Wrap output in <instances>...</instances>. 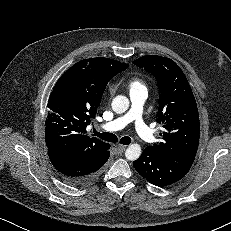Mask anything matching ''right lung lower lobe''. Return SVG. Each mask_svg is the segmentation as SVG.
<instances>
[{
  "label": "right lung lower lobe",
  "instance_id": "1",
  "mask_svg": "<svg viewBox=\"0 0 231 231\" xmlns=\"http://www.w3.org/2000/svg\"><path fill=\"white\" fill-rule=\"evenodd\" d=\"M48 155L59 176L67 184L81 187L92 183L101 174L110 152L107 150L104 154L88 160H71L50 152Z\"/></svg>",
  "mask_w": 231,
  "mask_h": 231
}]
</instances>
